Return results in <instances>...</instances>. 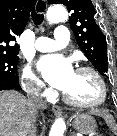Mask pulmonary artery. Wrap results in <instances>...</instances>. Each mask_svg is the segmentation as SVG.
<instances>
[{
	"label": "pulmonary artery",
	"instance_id": "1",
	"mask_svg": "<svg viewBox=\"0 0 117 136\" xmlns=\"http://www.w3.org/2000/svg\"><path fill=\"white\" fill-rule=\"evenodd\" d=\"M69 43L68 29L60 25L56 28L53 37H39L35 42V48L40 52H52L65 47Z\"/></svg>",
	"mask_w": 117,
	"mask_h": 136
}]
</instances>
